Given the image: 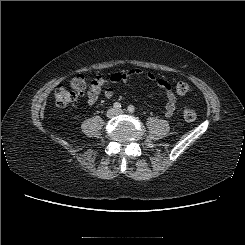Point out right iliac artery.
<instances>
[{"label":"right iliac artery","instance_id":"1","mask_svg":"<svg viewBox=\"0 0 245 245\" xmlns=\"http://www.w3.org/2000/svg\"><path fill=\"white\" fill-rule=\"evenodd\" d=\"M113 107L118 110L121 108V104L116 102V103H114Z\"/></svg>","mask_w":245,"mask_h":245}]
</instances>
